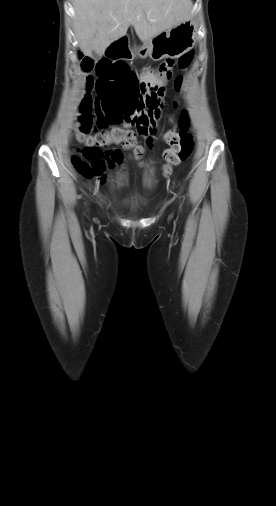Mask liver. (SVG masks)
Segmentation results:
<instances>
[{
  "instance_id": "1",
  "label": "liver",
  "mask_w": 276,
  "mask_h": 506,
  "mask_svg": "<svg viewBox=\"0 0 276 506\" xmlns=\"http://www.w3.org/2000/svg\"><path fill=\"white\" fill-rule=\"evenodd\" d=\"M81 51L101 56L132 25L145 42L191 18V0H72Z\"/></svg>"
}]
</instances>
